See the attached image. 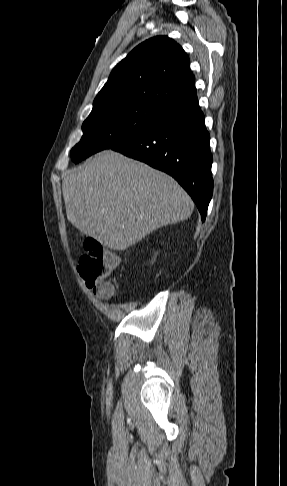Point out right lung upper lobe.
<instances>
[{"mask_svg":"<svg viewBox=\"0 0 287 486\" xmlns=\"http://www.w3.org/2000/svg\"><path fill=\"white\" fill-rule=\"evenodd\" d=\"M196 98L187 54L173 39L157 36L138 45L114 67L93 107L146 102L171 110Z\"/></svg>","mask_w":287,"mask_h":486,"instance_id":"cb5924a9","label":"right lung upper lobe"}]
</instances>
